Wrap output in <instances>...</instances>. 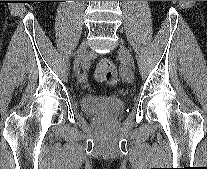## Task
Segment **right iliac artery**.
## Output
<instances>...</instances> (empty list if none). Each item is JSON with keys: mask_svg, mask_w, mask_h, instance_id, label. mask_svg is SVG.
<instances>
[{"mask_svg": "<svg viewBox=\"0 0 207 169\" xmlns=\"http://www.w3.org/2000/svg\"><path fill=\"white\" fill-rule=\"evenodd\" d=\"M82 66H83V70H84V71L79 75V81H82L83 79L86 80V73H85V70H86V69L88 68V66H89L87 58L83 59Z\"/></svg>", "mask_w": 207, "mask_h": 169, "instance_id": "1", "label": "right iliac artery"}]
</instances>
